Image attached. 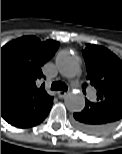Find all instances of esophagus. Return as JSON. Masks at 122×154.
<instances>
[{"instance_id":"obj_1","label":"esophagus","mask_w":122,"mask_h":154,"mask_svg":"<svg viewBox=\"0 0 122 154\" xmlns=\"http://www.w3.org/2000/svg\"><path fill=\"white\" fill-rule=\"evenodd\" d=\"M57 95H58L59 98H64L67 95V92H65V91H58Z\"/></svg>"}]
</instances>
